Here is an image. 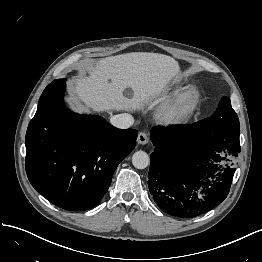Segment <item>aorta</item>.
Returning <instances> with one entry per match:
<instances>
[{"instance_id": "1", "label": "aorta", "mask_w": 262, "mask_h": 262, "mask_svg": "<svg viewBox=\"0 0 262 262\" xmlns=\"http://www.w3.org/2000/svg\"><path fill=\"white\" fill-rule=\"evenodd\" d=\"M150 163L148 154L144 151H137L132 156V164L137 169H144Z\"/></svg>"}]
</instances>
